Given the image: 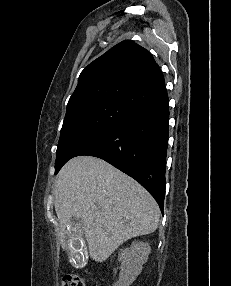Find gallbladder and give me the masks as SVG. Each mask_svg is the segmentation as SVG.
Returning a JSON list of instances; mask_svg holds the SVG:
<instances>
[{
    "mask_svg": "<svg viewBox=\"0 0 231 286\" xmlns=\"http://www.w3.org/2000/svg\"><path fill=\"white\" fill-rule=\"evenodd\" d=\"M86 229L85 223L78 216L71 217L69 223H66V234L68 238L65 243L67 245L66 250L71 265L74 268L85 267L88 263V250L86 248V241L82 235L83 230Z\"/></svg>",
    "mask_w": 231,
    "mask_h": 286,
    "instance_id": "bac80fb5",
    "label": "gallbladder"
}]
</instances>
